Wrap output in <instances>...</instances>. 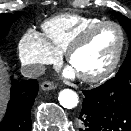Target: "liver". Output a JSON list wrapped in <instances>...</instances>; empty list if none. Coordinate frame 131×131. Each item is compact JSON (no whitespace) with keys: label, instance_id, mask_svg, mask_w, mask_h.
Here are the masks:
<instances>
[{"label":"liver","instance_id":"obj_1","mask_svg":"<svg viewBox=\"0 0 131 131\" xmlns=\"http://www.w3.org/2000/svg\"><path fill=\"white\" fill-rule=\"evenodd\" d=\"M8 74L4 62L0 59V115L8 100Z\"/></svg>","mask_w":131,"mask_h":131}]
</instances>
